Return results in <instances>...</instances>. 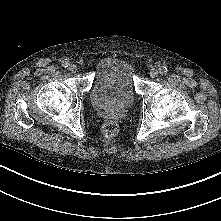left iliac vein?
Listing matches in <instances>:
<instances>
[{
    "label": "left iliac vein",
    "mask_w": 221,
    "mask_h": 221,
    "mask_svg": "<svg viewBox=\"0 0 221 221\" xmlns=\"http://www.w3.org/2000/svg\"><path fill=\"white\" fill-rule=\"evenodd\" d=\"M149 74L151 78H156L158 76V71L156 69H152Z\"/></svg>",
    "instance_id": "1"
}]
</instances>
